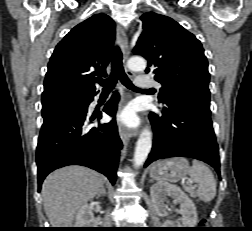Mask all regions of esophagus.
Here are the masks:
<instances>
[{
  "label": "esophagus",
  "instance_id": "34e87169",
  "mask_svg": "<svg viewBox=\"0 0 252 231\" xmlns=\"http://www.w3.org/2000/svg\"><path fill=\"white\" fill-rule=\"evenodd\" d=\"M117 31H118V34L120 36V40L122 43V49H123V53H124V63L126 64L128 57L130 55V47H129L128 38H127V35H126L124 29L121 26L117 27ZM126 71L129 76L134 75V73L132 71H130L127 67H126ZM118 132H119V136L124 144H127L129 139L131 137H133L134 135H136V132L126 128L122 124L118 125Z\"/></svg>",
  "mask_w": 252,
  "mask_h": 231
}]
</instances>
